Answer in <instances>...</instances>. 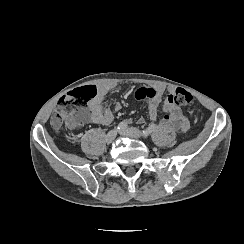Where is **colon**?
I'll return each instance as SVG.
<instances>
[{
	"label": "colon",
	"instance_id": "5ec220e1",
	"mask_svg": "<svg viewBox=\"0 0 244 244\" xmlns=\"http://www.w3.org/2000/svg\"><path fill=\"white\" fill-rule=\"evenodd\" d=\"M97 89L90 83H83L76 90L69 92L67 97L62 98L51 117V124L55 128L63 126L71 133L78 132L82 124L88 123L92 118L87 100L93 98ZM171 104L187 106L193 102L192 94L185 88L178 87L169 95Z\"/></svg>",
	"mask_w": 244,
	"mask_h": 244
}]
</instances>
